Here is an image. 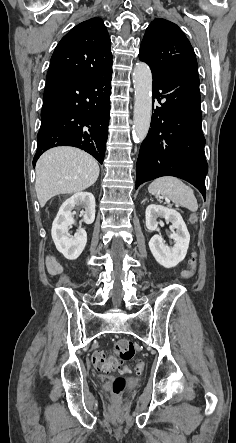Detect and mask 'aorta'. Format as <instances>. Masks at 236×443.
<instances>
[{"label": "aorta", "mask_w": 236, "mask_h": 443, "mask_svg": "<svg viewBox=\"0 0 236 443\" xmlns=\"http://www.w3.org/2000/svg\"><path fill=\"white\" fill-rule=\"evenodd\" d=\"M135 102L133 138L142 142L149 131L152 114V74L144 62L136 63L133 71Z\"/></svg>", "instance_id": "762f6f07"}]
</instances>
